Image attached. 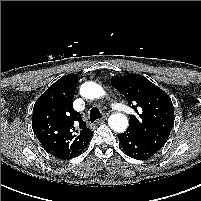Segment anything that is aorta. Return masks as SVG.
I'll return each instance as SVG.
<instances>
[{
	"instance_id": "762f6f07",
	"label": "aorta",
	"mask_w": 201,
	"mask_h": 201,
	"mask_svg": "<svg viewBox=\"0 0 201 201\" xmlns=\"http://www.w3.org/2000/svg\"><path fill=\"white\" fill-rule=\"evenodd\" d=\"M80 92L83 97L88 99L101 98L105 95L104 89L94 82H86L82 84ZM108 124L112 130L116 132H124L128 126V119L122 113H115L109 117Z\"/></svg>"
}]
</instances>
